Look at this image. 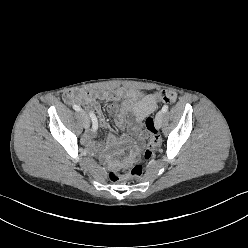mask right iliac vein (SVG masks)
<instances>
[{"label":"right iliac vein","mask_w":248,"mask_h":248,"mask_svg":"<svg viewBox=\"0 0 248 248\" xmlns=\"http://www.w3.org/2000/svg\"><path fill=\"white\" fill-rule=\"evenodd\" d=\"M81 115H82L83 126L87 129L90 125L89 116L83 111L81 112Z\"/></svg>","instance_id":"obj_1"}]
</instances>
